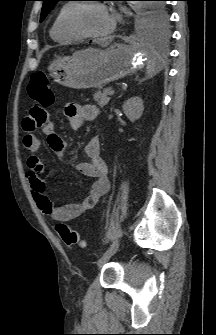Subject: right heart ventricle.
I'll use <instances>...</instances> for the list:
<instances>
[{"instance_id":"1","label":"right heart ventricle","mask_w":216,"mask_h":335,"mask_svg":"<svg viewBox=\"0 0 216 335\" xmlns=\"http://www.w3.org/2000/svg\"><path fill=\"white\" fill-rule=\"evenodd\" d=\"M71 5H72L71 3L63 4L59 8V10L57 11L53 19L49 33H50V37L55 42L66 44V43H71L77 39L76 37L69 35L64 30V27H63V18Z\"/></svg>"}]
</instances>
